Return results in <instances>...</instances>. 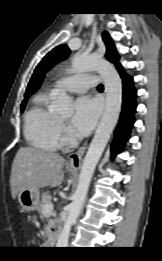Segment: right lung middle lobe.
<instances>
[{"label": "right lung middle lobe", "mask_w": 162, "mask_h": 261, "mask_svg": "<svg viewBox=\"0 0 162 261\" xmlns=\"http://www.w3.org/2000/svg\"><path fill=\"white\" fill-rule=\"evenodd\" d=\"M25 105H26V101H23L22 104H21V111L23 112L24 108H25Z\"/></svg>", "instance_id": "1"}]
</instances>
